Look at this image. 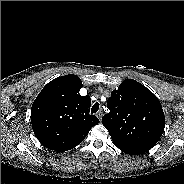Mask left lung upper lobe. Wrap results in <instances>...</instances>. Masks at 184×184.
I'll list each match as a JSON object with an SVG mask.
<instances>
[{"label": "left lung upper lobe", "instance_id": "obj_1", "mask_svg": "<svg viewBox=\"0 0 184 184\" xmlns=\"http://www.w3.org/2000/svg\"><path fill=\"white\" fill-rule=\"evenodd\" d=\"M102 123L113 143L133 154L149 151L160 139L165 116L157 97L141 83L125 79L107 101Z\"/></svg>", "mask_w": 184, "mask_h": 184}]
</instances>
